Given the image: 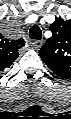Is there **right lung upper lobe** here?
Here are the masks:
<instances>
[{
    "mask_svg": "<svg viewBox=\"0 0 71 119\" xmlns=\"http://www.w3.org/2000/svg\"><path fill=\"white\" fill-rule=\"evenodd\" d=\"M25 41L23 38L18 40L0 39V71L9 68L10 65L19 56L18 50L23 47Z\"/></svg>",
    "mask_w": 71,
    "mask_h": 119,
    "instance_id": "cb5924a9",
    "label": "right lung upper lobe"
}]
</instances>
